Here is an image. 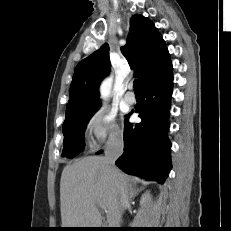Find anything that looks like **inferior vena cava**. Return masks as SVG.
Masks as SVG:
<instances>
[{
  "label": "inferior vena cava",
  "mask_w": 231,
  "mask_h": 231,
  "mask_svg": "<svg viewBox=\"0 0 231 231\" xmlns=\"http://www.w3.org/2000/svg\"><path fill=\"white\" fill-rule=\"evenodd\" d=\"M123 153V136L121 133H113L109 136V139L105 147V163L110 172L115 169V161ZM128 204V191L120 190L118 209L120 215L124 212L126 205Z\"/></svg>",
  "instance_id": "1"
}]
</instances>
